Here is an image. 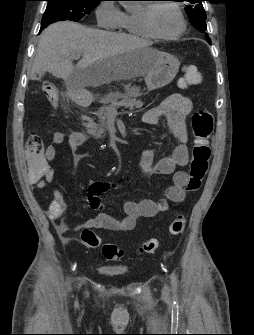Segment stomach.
Listing matches in <instances>:
<instances>
[{
	"mask_svg": "<svg viewBox=\"0 0 254 335\" xmlns=\"http://www.w3.org/2000/svg\"><path fill=\"white\" fill-rule=\"evenodd\" d=\"M150 52L152 53L155 61L154 65L145 76V83L148 91L160 89L171 83L180 67V63L175 56L151 48ZM134 89V96H139L141 94L140 90L138 88ZM73 96L75 98H80V96L89 98L88 94L80 91H75Z\"/></svg>",
	"mask_w": 254,
	"mask_h": 335,
	"instance_id": "obj_1",
	"label": "stomach"
}]
</instances>
